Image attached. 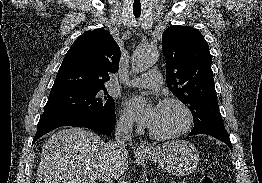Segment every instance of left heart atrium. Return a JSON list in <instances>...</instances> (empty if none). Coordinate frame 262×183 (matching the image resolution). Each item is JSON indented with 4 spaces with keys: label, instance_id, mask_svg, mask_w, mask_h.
I'll return each instance as SVG.
<instances>
[{
    "label": "left heart atrium",
    "instance_id": "39dd6f15",
    "mask_svg": "<svg viewBox=\"0 0 262 183\" xmlns=\"http://www.w3.org/2000/svg\"><path fill=\"white\" fill-rule=\"evenodd\" d=\"M127 111L146 127H151L154 122L158 106L144 97L135 96L125 103Z\"/></svg>",
    "mask_w": 262,
    "mask_h": 183
}]
</instances>
